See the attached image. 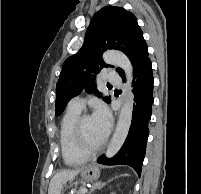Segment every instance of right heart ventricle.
I'll return each instance as SVG.
<instances>
[{"label":"right heart ventricle","instance_id":"1","mask_svg":"<svg viewBox=\"0 0 201 194\" xmlns=\"http://www.w3.org/2000/svg\"><path fill=\"white\" fill-rule=\"evenodd\" d=\"M81 110L68 107L62 117L59 132L61 154L67 165L75 166L84 163L88 156L81 153L74 140V125Z\"/></svg>","mask_w":201,"mask_h":194}]
</instances>
